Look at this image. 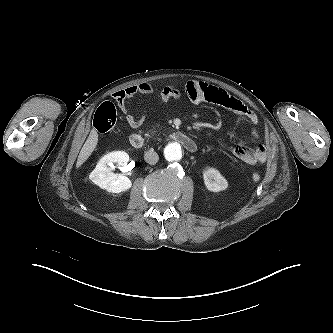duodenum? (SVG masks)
Listing matches in <instances>:
<instances>
[{"label":"duodenum","mask_w":333,"mask_h":333,"mask_svg":"<svg viewBox=\"0 0 333 333\" xmlns=\"http://www.w3.org/2000/svg\"><path fill=\"white\" fill-rule=\"evenodd\" d=\"M168 139L179 143L188 152L194 153L197 150L196 142L186 133L175 130L168 135ZM130 144L136 149H140L149 144L148 140L140 134H132L129 138Z\"/></svg>","instance_id":"duodenum-1"}]
</instances>
